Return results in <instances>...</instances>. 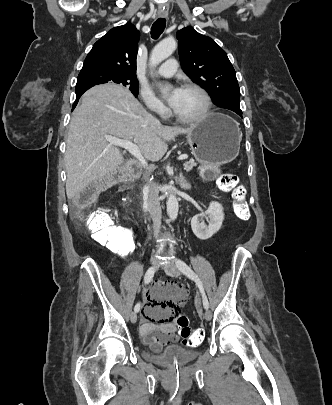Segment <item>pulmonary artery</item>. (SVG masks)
Wrapping results in <instances>:
<instances>
[{
    "mask_svg": "<svg viewBox=\"0 0 332 405\" xmlns=\"http://www.w3.org/2000/svg\"><path fill=\"white\" fill-rule=\"evenodd\" d=\"M176 71L177 61L175 59H169L158 68L157 74L162 77H171Z\"/></svg>",
    "mask_w": 332,
    "mask_h": 405,
    "instance_id": "obj_1",
    "label": "pulmonary artery"
}]
</instances>
